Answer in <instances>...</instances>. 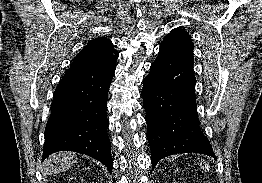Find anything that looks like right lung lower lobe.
<instances>
[{"mask_svg":"<svg viewBox=\"0 0 262 183\" xmlns=\"http://www.w3.org/2000/svg\"><path fill=\"white\" fill-rule=\"evenodd\" d=\"M115 69V64L67 69L53 94L42 160L57 151H74L99 160L112 172L106 106Z\"/></svg>","mask_w":262,"mask_h":183,"instance_id":"obj_1","label":"right lung lower lobe"}]
</instances>
